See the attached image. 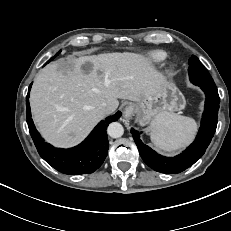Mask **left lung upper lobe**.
<instances>
[{"label": "left lung upper lobe", "mask_w": 231, "mask_h": 231, "mask_svg": "<svg viewBox=\"0 0 231 231\" xmlns=\"http://www.w3.org/2000/svg\"><path fill=\"white\" fill-rule=\"evenodd\" d=\"M188 71H189L190 81L193 84L204 85L208 87H216L207 69L194 55L189 60Z\"/></svg>", "instance_id": "5c2ea615"}]
</instances>
